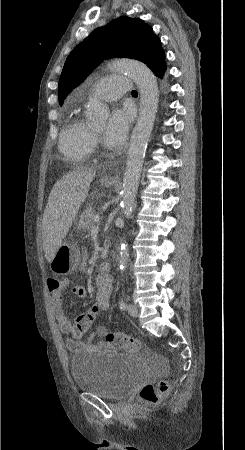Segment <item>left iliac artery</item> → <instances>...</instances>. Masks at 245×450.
<instances>
[{
	"label": "left iliac artery",
	"mask_w": 245,
	"mask_h": 450,
	"mask_svg": "<svg viewBox=\"0 0 245 450\" xmlns=\"http://www.w3.org/2000/svg\"><path fill=\"white\" fill-rule=\"evenodd\" d=\"M119 307H120L121 309L125 310V309H126V303H125L123 300H120V301H119Z\"/></svg>",
	"instance_id": "obj_1"
}]
</instances>
